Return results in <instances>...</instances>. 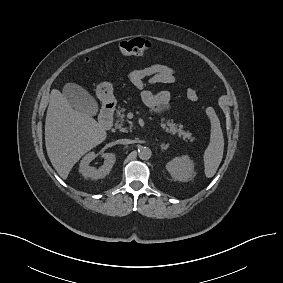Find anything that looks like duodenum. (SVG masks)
<instances>
[{"mask_svg": "<svg viewBox=\"0 0 283 283\" xmlns=\"http://www.w3.org/2000/svg\"><path fill=\"white\" fill-rule=\"evenodd\" d=\"M113 105H105L99 116L100 127L104 130H109L113 124Z\"/></svg>", "mask_w": 283, "mask_h": 283, "instance_id": "1", "label": "duodenum"}]
</instances>
